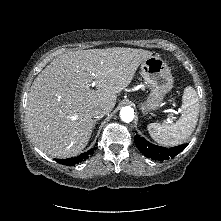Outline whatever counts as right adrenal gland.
<instances>
[{
  "mask_svg": "<svg viewBox=\"0 0 221 221\" xmlns=\"http://www.w3.org/2000/svg\"><path fill=\"white\" fill-rule=\"evenodd\" d=\"M97 119L96 120H94V122H93V127H95V125H96V123H97Z\"/></svg>",
  "mask_w": 221,
  "mask_h": 221,
  "instance_id": "obj_1",
  "label": "right adrenal gland"
}]
</instances>
